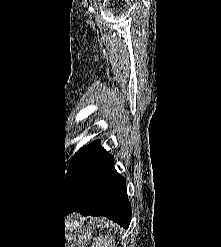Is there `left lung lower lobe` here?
<instances>
[{"mask_svg":"<svg viewBox=\"0 0 221 247\" xmlns=\"http://www.w3.org/2000/svg\"><path fill=\"white\" fill-rule=\"evenodd\" d=\"M63 199L70 212L106 216L123 228L129 227L131 206L126 180L115 170L113 156L98 141L87 150L64 190Z\"/></svg>","mask_w":221,"mask_h":247,"instance_id":"0a47b994","label":"left lung lower lobe"}]
</instances>
